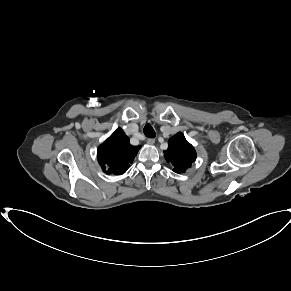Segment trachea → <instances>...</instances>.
<instances>
[{"mask_svg":"<svg viewBox=\"0 0 291 291\" xmlns=\"http://www.w3.org/2000/svg\"><path fill=\"white\" fill-rule=\"evenodd\" d=\"M143 132L145 136L149 138H154L156 136V133L150 124L145 125Z\"/></svg>","mask_w":291,"mask_h":291,"instance_id":"1","label":"trachea"}]
</instances>
